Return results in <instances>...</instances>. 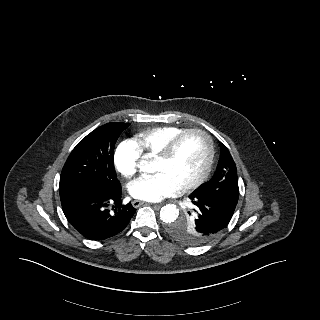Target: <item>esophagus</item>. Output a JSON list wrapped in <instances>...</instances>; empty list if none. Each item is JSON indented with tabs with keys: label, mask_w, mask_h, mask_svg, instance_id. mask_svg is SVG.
I'll return each mask as SVG.
<instances>
[{
	"label": "esophagus",
	"mask_w": 320,
	"mask_h": 320,
	"mask_svg": "<svg viewBox=\"0 0 320 320\" xmlns=\"http://www.w3.org/2000/svg\"><path fill=\"white\" fill-rule=\"evenodd\" d=\"M143 204H145V202L139 201V200H134V201L132 202V205H133V207H135V208H137V207H139V206H141V205H143Z\"/></svg>",
	"instance_id": "obj_1"
}]
</instances>
